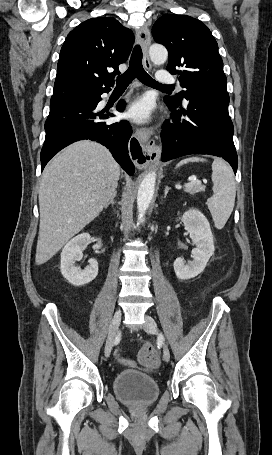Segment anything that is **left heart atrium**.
Instances as JSON below:
<instances>
[{
	"instance_id": "1",
	"label": "left heart atrium",
	"mask_w": 272,
	"mask_h": 455,
	"mask_svg": "<svg viewBox=\"0 0 272 455\" xmlns=\"http://www.w3.org/2000/svg\"><path fill=\"white\" fill-rule=\"evenodd\" d=\"M152 110V102L148 98L142 97L131 104L128 110V115L137 122H144L149 119L152 114Z\"/></svg>"
}]
</instances>
